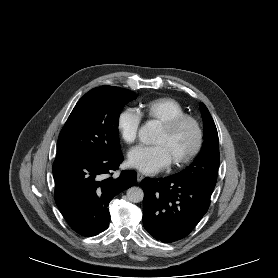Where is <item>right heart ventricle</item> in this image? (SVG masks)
Listing matches in <instances>:
<instances>
[{
    "label": "right heart ventricle",
    "instance_id": "obj_1",
    "mask_svg": "<svg viewBox=\"0 0 278 278\" xmlns=\"http://www.w3.org/2000/svg\"><path fill=\"white\" fill-rule=\"evenodd\" d=\"M138 112L141 117L160 124L186 114L184 107L170 97H160L143 102L140 104Z\"/></svg>",
    "mask_w": 278,
    "mask_h": 278
}]
</instances>
